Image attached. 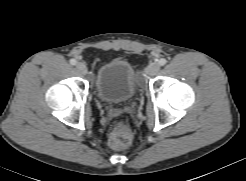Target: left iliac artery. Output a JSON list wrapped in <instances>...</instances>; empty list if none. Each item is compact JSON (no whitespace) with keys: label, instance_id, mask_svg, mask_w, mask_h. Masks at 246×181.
<instances>
[{"label":"left iliac artery","instance_id":"left-iliac-artery-1","mask_svg":"<svg viewBox=\"0 0 246 181\" xmlns=\"http://www.w3.org/2000/svg\"><path fill=\"white\" fill-rule=\"evenodd\" d=\"M158 62L160 66H164L167 63V60L165 58H161Z\"/></svg>","mask_w":246,"mask_h":181}]
</instances>
